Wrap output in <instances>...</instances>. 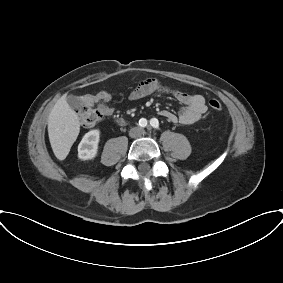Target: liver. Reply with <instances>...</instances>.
<instances>
[{
  "label": "liver",
  "instance_id": "liver-1",
  "mask_svg": "<svg viewBox=\"0 0 283 283\" xmlns=\"http://www.w3.org/2000/svg\"><path fill=\"white\" fill-rule=\"evenodd\" d=\"M80 132V122L76 112L61 97L48 117V135L52 150L59 160H64Z\"/></svg>",
  "mask_w": 283,
  "mask_h": 283
}]
</instances>
